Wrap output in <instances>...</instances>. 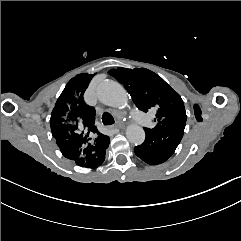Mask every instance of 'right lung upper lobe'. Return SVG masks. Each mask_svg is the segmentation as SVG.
Segmentation results:
<instances>
[{
	"mask_svg": "<svg viewBox=\"0 0 241 241\" xmlns=\"http://www.w3.org/2000/svg\"><path fill=\"white\" fill-rule=\"evenodd\" d=\"M93 75L83 73L72 78L58 98L50 118L52 135L64 157L79 166L95 161L108 136L95 126V109L83 94Z\"/></svg>",
	"mask_w": 241,
	"mask_h": 241,
	"instance_id": "1",
	"label": "right lung upper lobe"
}]
</instances>
